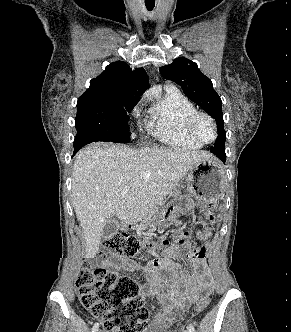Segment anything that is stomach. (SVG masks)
Masks as SVG:
<instances>
[{"label":"stomach","mask_w":291,"mask_h":332,"mask_svg":"<svg viewBox=\"0 0 291 332\" xmlns=\"http://www.w3.org/2000/svg\"><path fill=\"white\" fill-rule=\"evenodd\" d=\"M186 192L174 189L167 206L150 216V226L163 225L170 213H192L195 207L218 200L223 191L224 173L218 162L209 157L198 161L187 175Z\"/></svg>","instance_id":"obj_1"}]
</instances>
